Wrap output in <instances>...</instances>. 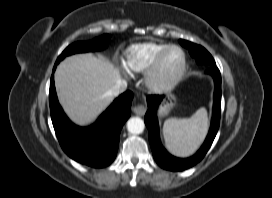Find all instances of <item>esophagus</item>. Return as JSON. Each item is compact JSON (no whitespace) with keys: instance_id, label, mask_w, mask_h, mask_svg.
<instances>
[{"instance_id":"1","label":"esophagus","mask_w":272,"mask_h":198,"mask_svg":"<svg viewBox=\"0 0 272 198\" xmlns=\"http://www.w3.org/2000/svg\"><path fill=\"white\" fill-rule=\"evenodd\" d=\"M147 109L144 105L138 104L133 108V112L138 116H143L146 113Z\"/></svg>"}]
</instances>
